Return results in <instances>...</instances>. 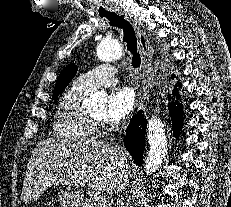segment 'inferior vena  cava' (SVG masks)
Listing matches in <instances>:
<instances>
[{"label":"inferior vena cava","instance_id":"602c4592","mask_svg":"<svg viewBox=\"0 0 231 207\" xmlns=\"http://www.w3.org/2000/svg\"><path fill=\"white\" fill-rule=\"evenodd\" d=\"M117 151L119 152V159L121 164L124 166L126 164V157L123 154V152L120 150L119 147H116ZM117 207H125L124 206V197L122 195H119V198L117 200Z\"/></svg>","mask_w":231,"mask_h":207}]
</instances>
